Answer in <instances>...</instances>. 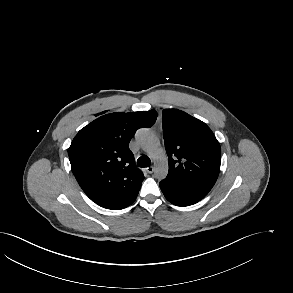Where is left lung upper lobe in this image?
<instances>
[{"instance_id": "5c2ea615", "label": "left lung upper lobe", "mask_w": 293, "mask_h": 293, "mask_svg": "<svg viewBox=\"0 0 293 293\" xmlns=\"http://www.w3.org/2000/svg\"><path fill=\"white\" fill-rule=\"evenodd\" d=\"M163 137L169 184L209 192L220 171L221 148L211 129L202 121L177 109L162 112Z\"/></svg>"}]
</instances>
